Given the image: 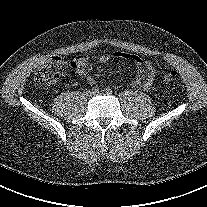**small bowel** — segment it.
Wrapping results in <instances>:
<instances>
[{
  "label": "small bowel",
  "instance_id": "obj_1",
  "mask_svg": "<svg viewBox=\"0 0 207 207\" xmlns=\"http://www.w3.org/2000/svg\"><path fill=\"white\" fill-rule=\"evenodd\" d=\"M112 58L128 59L133 61L139 68V75L131 81V84L134 88L143 89L145 91L150 90L155 79V68L151 62L144 60L138 56L130 55L126 53L116 52L113 54H102L99 56L98 61L100 63H106ZM73 67L75 73L80 76H85L89 73L92 68V63L90 58L86 55H81L74 59ZM88 82L93 84L94 78L88 77Z\"/></svg>",
  "mask_w": 207,
  "mask_h": 207
}]
</instances>
